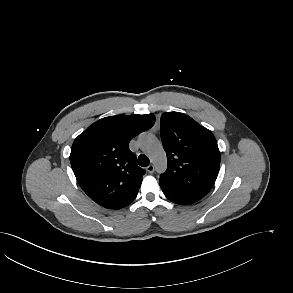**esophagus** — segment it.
<instances>
[{"instance_id": "obj_1", "label": "esophagus", "mask_w": 293, "mask_h": 293, "mask_svg": "<svg viewBox=\"0 0 293 293\" xmlns=\"http://www.w3.org/2000/svg\"><path fill=\"white\" fill-rule=\"evenodd\" d=\"M146 171L149 173V174H152L154 172V166L153 165H149L146 167Z\"/></svg>"}]
</instances>
